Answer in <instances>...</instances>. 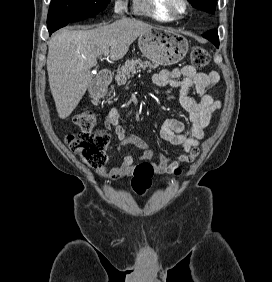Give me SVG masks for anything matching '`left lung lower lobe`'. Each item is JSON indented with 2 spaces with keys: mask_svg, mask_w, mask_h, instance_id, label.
<instances>
[{
  "mask_svg": "<svg viewBox=\"0 0 272 282\" xmlns=\"http://www.w3.org/2000/svg\"><path fill=\"white\" fill-rule=\"evenodd\" d=\"M203 37L210 40L217 48L219 47V39L216 30H212L203 34Z\"/></svg>",
  "mask_w": 272,
  "mask_h": 282,
  "instance_id": "1",
  "label": "left lung lower lobe"
}]
</instances>
